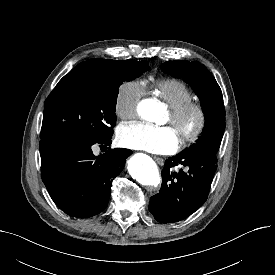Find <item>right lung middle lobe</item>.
<instances>
[{
    "label": "right lung middle lobe",
    "instance_id": "1",
    "mask_svg": "<svg viewBox=\"0 0 275 275\" xmlns=\"http://www.w3.org/2000/svg\"><path fill=\"white\" fill-rule=\"evenodd\" d=\"M149 69L147 61L120 60L107 71L67 74L44 104L40 151L111 138L119 86Z\"/></svg>",
    "mask_w": 275,
    "mask_h": 275
}]
</instances>
